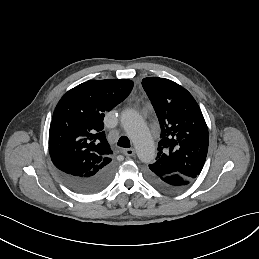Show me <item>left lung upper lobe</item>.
Returning a JSON list of instances; mask_svg holds the SVG:
<instances>
[{"label": "left lung upper lobe", "instance_id": "obj_1", "mask_svg": "<svg viewBox=\"0 0 259 259\" xmlns=\"http://www.w3.org/2000/svg\"><path fill=\"white\" fill-rule=\"evenodd\" d=\"M142 86L161 127L157 161L148 171L194 180L204 166L209 143L200 107L186 89L171 80L148 77Z\"/></svg>", "mask_w": 259, "mask_h": 259}]
</instances>
